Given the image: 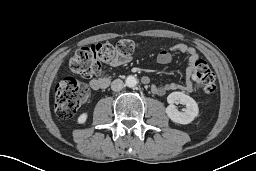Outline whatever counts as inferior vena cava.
<instances>
[{
  "label": "inferior vena cava",
  "mask_w": 256,
  "mask_h": 171,
  "mask_svg": "<svg viewBox=\"0 0 256 171\" xmlns=\"http://www.w3.org/2000/svg\"><path fill=\"white\" fill-rule=\"evenodd\" d=\"M124 87V83L121 79H116L111 83V89L113 91H120Z\"/></svg>",
  "instance_id": "602c4592"
}]
</instances>
